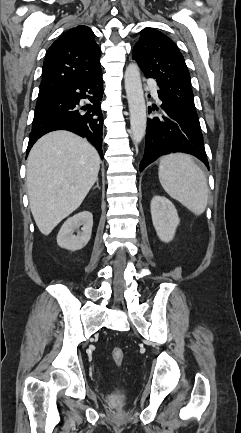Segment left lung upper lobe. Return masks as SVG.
I'll return each mask as SVG.
<instances>
[{"label": "left lung upper lobe", "mask_w": 241, "mask_h": 433, "mask_svg": "<svg viewBox=\"0 0 241 433\" xmlns=\"http://www.w3.org/2000/svg\"><path fill=\"white\" fill-rule=\"evenodd\" d=\"M133 59L147 78L156 79L158 92L200 128L190 74L176 44L160 31L145 28L134 45Z\"/></svg>", "instance_id": "obj_1"}]
</instances>
